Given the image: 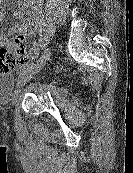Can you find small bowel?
Segmentation results:
<instances>
[{
    "label": "small bowel",
    "instance_id": "small-bowel-1",
    "mask_svg": "<svg viewBox=\"0 0 133 173\" xmlns=\"http://www.w3.org/2000/svg\"><path fill=\"white\" fill-rule=\"evenodd\" d=\"M42 0H22L19 7L21 10H27V19L24 20L21 26H15L11 29V34L17 35L22 38L23 45L25 46V38L32 35L36 29L40 19ZM19 17L21 13H18ZM3 18V12L0 11V21ZM7 39L0 35V45H5Z\"/></svg>",
    "mask_w": 133,
    "mask_h": 173
}]
</instances>
